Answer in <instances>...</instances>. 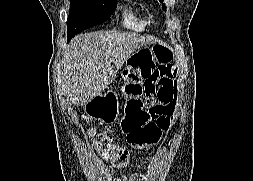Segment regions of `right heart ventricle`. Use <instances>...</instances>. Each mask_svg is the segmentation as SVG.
<instances>
[{
    "instance_id": "e07e8e85",
    "label": "right heart ventricle",
    "mask_w": 253,
    "mask_h": 181,
    "mask_svg": "<svg viewBox=\"0 0 253 181\" xmlns=\"http://www.w3.org/2000/svg\"><path fill=\"white\" fill-rule=\"evenodd\" d=\"M120 22L121 25L133 31H143L146 21L139 9L130 0L120 2Z\"/></svg>"
}]
</instances>
